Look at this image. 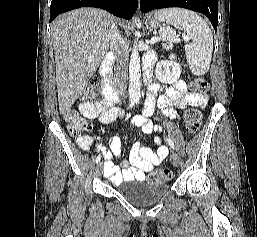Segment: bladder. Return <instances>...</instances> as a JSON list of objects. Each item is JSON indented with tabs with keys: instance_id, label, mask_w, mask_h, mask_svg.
Instances as JSON below:
<instances>
[{
	"instance_id": "obj_1",
	"label": "bladder",
	"mask_w": 257,
	"mask_h": 237,
	"mask_svg": "<svg viewBox=\"0 0 257 237\" xmlns=\"http://www.w3.org/2000/svg\"><path fill=\"white\" fill-rule=\"evenodd\" d=\"M130 180L131 185L119 191L129 203L137 207H149L160 201L169 190V184L161 182H142Z\"/></svg>"
}]
</instances>
